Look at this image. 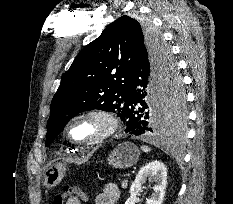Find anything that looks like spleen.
I'll use <instances>...</instances> for the list:
<instances>
[{"mask_svg": "<svg viewBox=\"0 0 233 204\" xmlns=\"http://www.w3.org/2000/svg\"><path fill=\"white\" fill-rule=\"evenodd\" d=\"M142 151H144L145 153H148L151 151V148H149L148 146H141Z\"/></svg>", "mask_w": 233, "mask_h": 204, "instance_id": "spleen-1", "label": "spleen"}]
</instances>
